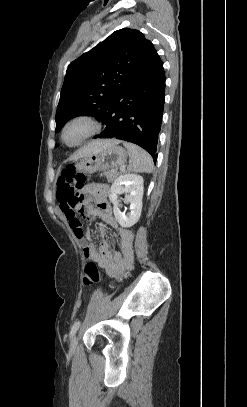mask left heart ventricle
I'll use <instances>...</instances> for the list:
<instances>
[{"instance_id": "1", "label": "left heart ventricle", "mask_w": 247, "mask_h": 407, "mask_svg": "<svg viewBox=\"0 0 247 407\" xmlns=\"http://www.w3.org/2000/svg\"><path fill=\"white\" fill-rule=\"evenodd\" d=\"M87 130V126L84 123H76L72 125L66 132L65 138L68 142L76 141Z\"/></svg>"}]
</instances>
